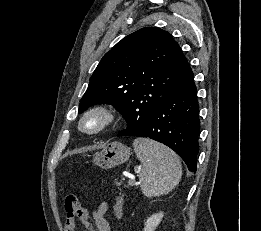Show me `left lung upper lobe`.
Masks as SVG:
<instances>
[{"label": "left lung upper lobe", "instance_id": "left-lung-upper-lobe-1", "mask_svg": "<svg viewBox=\"0 0 261 231\" xmlns=\"http://www.w3.org/2000/svg\"><path fill=\"white\" fill-rule=\"evenodd\" d=\"M192 76L180 46L167 31L142 28L104 55L80 100L79 113L109 103L120 111L127 127L142 125Z\"/></svg>", "mask_w": 261, "mask_h": 231}]
</instances>
